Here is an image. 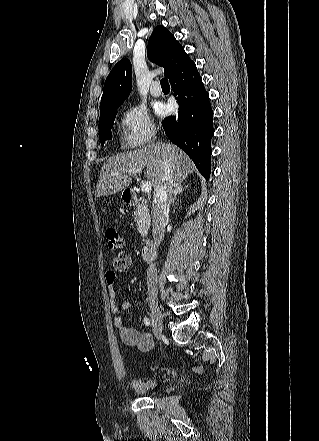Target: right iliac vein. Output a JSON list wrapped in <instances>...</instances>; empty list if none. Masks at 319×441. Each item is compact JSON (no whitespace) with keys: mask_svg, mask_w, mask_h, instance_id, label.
<instances>
[{"mask_svg":"<svg viewBox=\"0 0 319 441\" xmlns=\"http://www.w3.org/2000/svg\"><path fill=\"white\" fill-rule=\"evenodd\" d=\"M150 317L154 334L159 338L162 335L163 330V317L160 308L155 302L150 304Z\"/></svg>","mask_w":319,"mask_h":441,"instance_id":"right-iliac-vein-1","label":"right iliac vein"}]
</instances>
